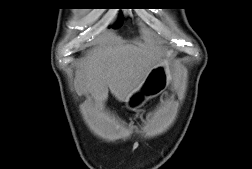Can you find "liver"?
Segmentation results:
<instances>
[{
	"label": "liver",
	"instance_id": "obj_1",
	"mask_svg": "<svg viewBox=\"0 0 252 169\" xmlns=\"http://www.w3.org/2000/svg\"><path fill=\"white\" fill-rule=\"evenodd\" d=\"M161 56L159 47L152 43L115 39L83 57L77 74L79 87L90 94L98 109L103 108L109 90L118 101L126 102L160 65Z\"/></svg>",
	"mask_w": 252,
	"mask_h": 169
}]
</instances>
